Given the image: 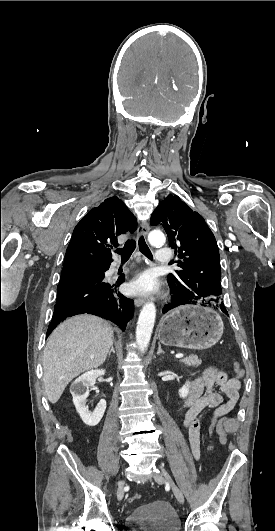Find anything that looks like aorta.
<instances>
[{
	"label": "aorta",
	"mask_w": 275,
	"mask_h": 531,
	"mask_svg": "<svg viewBox=\"0 0 275 531\" xmlns=\"http://www.w3.org/2000/svg\"><path fill=\"white\" fill-rule=\"evenodd\" d=\"M164 239L161 231H152L149 235V241L151 245H158L162 243ZM156 319V307L154 303H146L140 315L138 317L137 329H136V343L140 353H145L150 343L154 323Z\"/></svg>",
	"instance_id": "obj_1"
}]
</instances>
